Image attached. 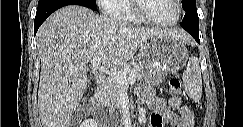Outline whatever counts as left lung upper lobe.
Listing matches in <instances>:
<instances>
[{"mask_svg":"<svg viewBox=\"0 0 243 127\" xmlns=\"http://www.w3.org/2000/svg\"><path fill=\"white\" fill-rule=\"evenodd\" d=\"M183 8L188 13H197L196 0H182Z\"/></svg>","mask_w":243,"mask_h":127,"instance_id":"1","label":"left lung upper lobe"}]
</instances>
